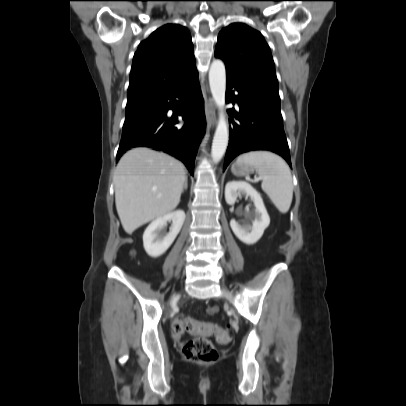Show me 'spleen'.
Returning <instances> with one entry per match:
<instances>
[{"mask_svg": "<svg viewBox=\"0 0 406 406\" xmlns=\"http://www.w3.org/2000/svg\"><path fill=\"white\" fill-rule=\"evenodd\" d=\"M237 161L256 169L262 180L263 191L281 213H287L293 198L292 175L287 163L280 156L268 151L244 153Z\"/></svg>", "mask_w": 406, "mask_h": 406, "instance_id": "1", "label": "spleen"}]
</instances>
